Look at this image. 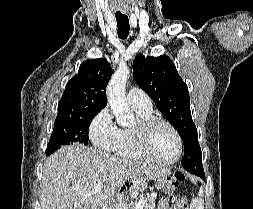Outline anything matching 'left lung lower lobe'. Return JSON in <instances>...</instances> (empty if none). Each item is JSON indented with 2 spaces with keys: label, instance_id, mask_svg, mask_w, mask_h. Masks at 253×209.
Returning <instances> with one entry per match:
<instances>
[{
  "label": "left lung lower lobe",
  "instance_id": "0a47b994",
  "mask_svg": "<svg viewBox=\"0 0 253 209\" xmlns=\"http://www.w3.org/2000/svg\"><path fill=\"white\" fill-rule=\"evenodd\" d=\"M190 173L195 174L202 179H205L203 165H199L197 168H195V170H192Z\"/></svg>",
  "mask_w": 253,
  "mask_h": 209
}]
</instances>
